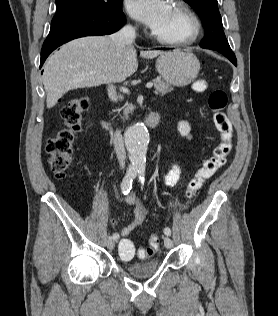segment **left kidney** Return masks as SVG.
I'll return each instance as SVG.
<instances>
[{
	"mask_svg": "<svg viewBox=\"0 0 278 316\" xmlns=\"http://www.w3.org/2000/svg\"><path fill=\"white\" fill-rule=\"evenodd\" d=\"M191 127L188 122L186 121H180L178 123V131L181 134V136H188L190 133Z\"/></svg>",
	"mask_w": 278,
	"mask_h": 316,
	"instance_id": "obj_1",
	"label": "left kidney"
}]
</instances>
